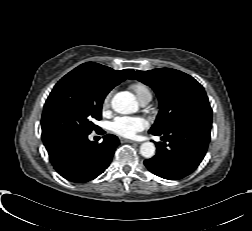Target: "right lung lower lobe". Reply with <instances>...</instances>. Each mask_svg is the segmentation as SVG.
Returning <instances> with one entry per match:
<instances>
[{"instance_id":"obj_1","label":"right lung lower lobe","mask_w":252,"mask_h":231,"mask_svg":"<svg viewBox=\"0 0 252 231\" xmlns=\"http://www.w3.org/2000/svg\"><path fill=\"white\" fill-rule=\"evenodd\" d=\"M118 145V138L111 134L105 135L100 144L89 141L88 135H82L65 137L46 149L61 176L71 182L85 183L104 172Z\"/></svg>"}]
</instances>
